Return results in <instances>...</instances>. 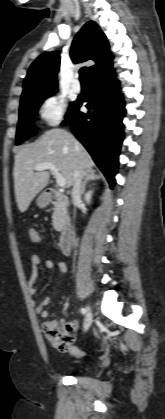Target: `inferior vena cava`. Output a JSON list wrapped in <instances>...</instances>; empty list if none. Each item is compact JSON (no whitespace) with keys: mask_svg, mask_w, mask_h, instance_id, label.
Listing matches in <instances>:
<instances>
[{"mask_svg":"<svg viewBox=\"0 0 165 419\" xmlns=\"http://www.w3.org/2000/svg\"><path fill=\"white\" fill-rule=\"evenodd\" d=\"M82 189V173L79 170L74 172L73 188L71 190L72 202L76 203L81 196Z\"/></svg>","mask_w":165,"mask_h":419,"instance_id":"602c4592","label":"inferior vena cava"}]
</instances>
